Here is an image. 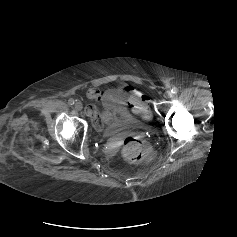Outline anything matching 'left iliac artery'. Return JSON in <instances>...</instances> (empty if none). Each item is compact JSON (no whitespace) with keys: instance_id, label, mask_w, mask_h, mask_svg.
Segmentation results:
<instances>
[{"instance_id":"44dca946","label":"left iliac artery","mask_w":237,"mask_h":237,"mask_svg":"<svg viewBox=\"0 0 237 237\" xmlns=\"http://www.w3.org/2000/svg\"><path fill=\"white\" fill-rule=\"evenodd\" d=\"M177 92H178V89H177L176 87H173V88L171 89V93H172V94H177Z\"/></svg>"}]
</instances>
